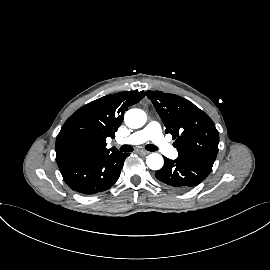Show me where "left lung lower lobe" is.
<instances>
[{"label":"left lung lower lobe","instance_id":"obj_1","mask_svg":"<svg viewBox=\"0 0 270 270\" xmlns=\"http://www.w3.org/2000/svg\"><path fill=\"white\" fill-rule=\"evenodd\" d=\"M210 172L187 160H171L164 157V166L155 172V176L172 189L188 190L200 184Z\"/></svg>","mask_w":270,"mask_h":270}]
</instances>
